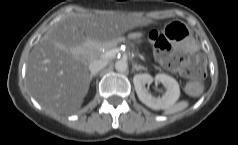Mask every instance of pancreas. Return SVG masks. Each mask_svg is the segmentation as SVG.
<instances>
[{
    "label": "pancreas",
    "instance_id": "1",
    "mask_svg": "<svg viewBox=\"0 0 238 145\" xmlns=\"http://www.w3.org/2000/svg\"><path fill=\"white\" fill-rule=\"evenodd\" d=\"M118 44H119V41H113V42L107 44V45L105 46V49H106L107 51H110V50H112V49H116L117 46H118Z\"/></svg>",
    "mask_w": 238,
    "mask_h": 145
}]
</instances>
